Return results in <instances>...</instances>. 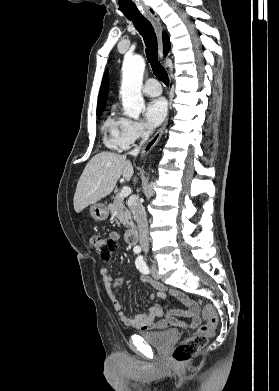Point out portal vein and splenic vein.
Segmentation results:
<instances>
[{"label":"portal vein and splenic vein","mask_w":279,"mask_h":391,"mask_svg":"<svg viewBox=\"0 0 279 391\" xmlns=\"http://www.w3.org/2000/svg\"><path fill=\"white\" fill-rule=\"evenodd\" d=\"M130 193H131L130 187L124 186L120 192V197L125 198V197L129 196Z\"/></svg>","instance_id":"18ae733b"}]
</instances>
